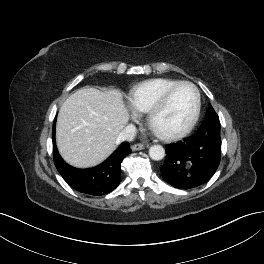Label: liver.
<instances>
[{
    "instance_id": "liver-1",
    "label": "liver",
    "mask_w": 264,
    "mask_h": 264,
    "mask_svg": "<svg viewBox=\"0 0 264 264\" xmlns=\"http://www.w3.org/2000/svg\"><path fill=\"white\" fill-rule=\"evenodd\" d=\"M128 120L119 90L79 89L60 107L56 125L58 150L72 166H94L116 149V138Z\"/></svg>"
}]
</instances>
